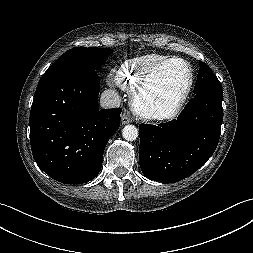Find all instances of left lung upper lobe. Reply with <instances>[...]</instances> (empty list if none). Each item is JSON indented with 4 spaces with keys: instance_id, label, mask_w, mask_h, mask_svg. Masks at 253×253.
I'll list each match as a JSON object with an SVG mask.
<instances>
[{
    "instance_id": "left-lung-upper-lobe-1",
    "label": "left lung upper lobe",
    "mask_w": 253,
    "mask_h": 253,
    "mask_svg": "<svg viewBox=\"0 0 253 253\" xmlns=\"http://www.w3.org/2000/svg\"><path fill=\"white\" fill-rule=\"evenodd\" d=\"M199 65L200 69L197 76L194 93L198 94L205 91L223 93L219 80L211 71L209 66L204 62H200Z\"/></svg>"
}]
</instances>
